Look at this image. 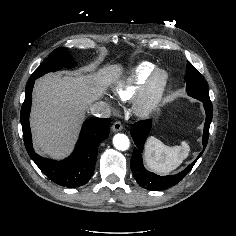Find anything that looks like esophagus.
Instances as JSON below:
<instances>
[{
  "instance_id": "34e87169",
  "label": "esophagus",
  "mask_w": 236,
  "mask_h": 236,
  "mask_svg": "<svg viewBox=\"0 0 236 236\" xmlns=\"http://www.w3.org/2000/svg\"><path fill=\"white\" fill-rule=\"evenodd\" d=\"M123 129V126L121 124V122L116 121L113 125H112V131L113 132H118L121 131Z\"/></svg>"
}]
</instances>
